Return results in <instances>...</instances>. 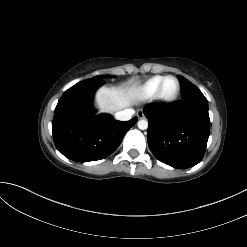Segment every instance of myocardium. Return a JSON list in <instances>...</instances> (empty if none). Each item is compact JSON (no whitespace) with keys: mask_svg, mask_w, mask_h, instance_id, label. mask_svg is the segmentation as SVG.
<instances>
[{"mask_svg":"<svg viewBox=\"0 0 247 247\" xmlns=\"http://www.w3.org/2000/svg\"><path fill=\"white\" fill-rule=\"evenodd\" d=\"M168 79H174L176 81V90H175V92L171 96H165L163 94V87H164L165 82ZM180 90H181V85H180V82H179L178 78L175 77V76L169 75V76H166L162 80V82H161V84H160V86H159V88H158L155 96H156V99L158 101H160L162 103L169 104V103L174 102L178 98V96L180 94Z\"/></svg>","mask_w":247,"mask_h":247,"instance_id":"1","label":"myocardium"}]
</instances>
